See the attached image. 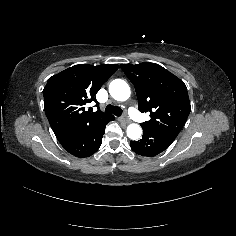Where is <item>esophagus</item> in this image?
Segmentation results:
<instances>
[{"label": "esophagus", "mask_w": 236, "mask_h": 236, "mask_svg": "<svg viewBox=\"0 0 236 236\" xmlns=\"http://www.w3.org/2000/svg\"><path fill=\"white\" fill-rule=\"evenodd\" d=\"M122 120H123L124 122H126V123H129V122H130V120H129L128 117H127V113H126V112L124 113Z\"/></svg>", "instance_id": "34e87169"}]
</instances>
